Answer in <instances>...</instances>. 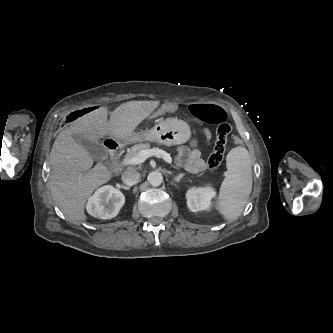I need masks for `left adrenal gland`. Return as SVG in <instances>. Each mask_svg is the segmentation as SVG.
<instances>
[{"mask_svg":"<svg viewBox=\"0 0 333 333\" xmlns=\"http://www.w3.org/2000/svg\"><path fill=\"white\" fill-rule=\"evenodd\" d=\"M184 176H185L184 173L179 174L178 176H176V177L174 178V180H175L177 183H179V182L181 181V179L184 178Z\"/></svg>","mask_w":333,"mask_h":333,"instance_id":"left-adrenal-gland-1","label":"left adrenal gland"}]
</instances>
